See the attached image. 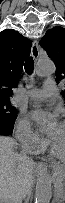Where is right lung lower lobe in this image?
<instances>
[{
  "label": "right lung lower lobe",
  "mask_w": 65,
  "mask_h": 203,
  "mask_svg": "<svg viewBox=\"0 0 65 203\" xmlns=\"http://www.w3.org/2000/svg\"><path fill=\"white\" fill-rule=\"evenodd\" d=\"M12 131H13V129L12 130H8V129L0 126V135H6V136H8V135L12 134Z\"/></svg>",
  "instance_id": "right-lung-lower-lobe-1"
}]
</instances>
